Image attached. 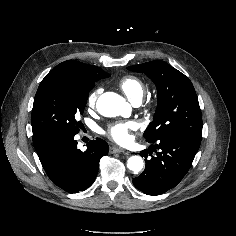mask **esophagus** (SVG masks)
I'll use <instances>...</instances> for the list:
<instances>
[{
  "label": "esophagus",
  "mask_w": 236,
  "mask_h": 236,
  "mask_svg": "<svg viewBox=\"0 0 236 236\" xmlns=\"http://www.w3.org/2000/svg\"><path fill=\"white\" fill-rule=\"evenodd\" d=\"M126 151L125 150H123V149H121V148H119V147H116V146H112V147H110V149H109V153L110 154H114V153H125Z\"/></svg>",
  "instance_id": "esophagus-1"
}]
</instances>
